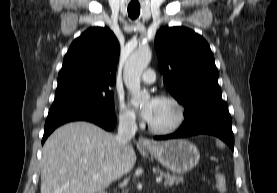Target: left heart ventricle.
<instances>
[{"instance_id": "1", "label": "left heart ventricle", "mask_w": 277, "mask_h": 193, "mask_svg": "<svg viewBox=\"0 0 277 193\" xmlns=\"http://www.w3.org/2000/svg\"><path fill=\"white\" fill-rule=\"evenodd\" d=\"M176 117L175 107L170 102L158 99L153 117L149 123L154 127L164 128L173 124Z\"/></svg>"}]
</instances>
